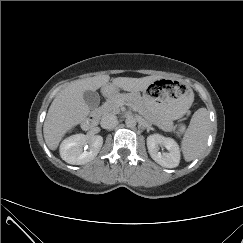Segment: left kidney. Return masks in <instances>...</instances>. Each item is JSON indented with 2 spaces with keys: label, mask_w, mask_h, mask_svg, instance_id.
<instances>
[{
  "label": "left kidney",
  "mask_w": 243,
  "mask_h": 243,
  "mask_svg": "<svg viewBox=\"0 0 243 243\" xmlns=\"http://www.w3.org/2000/svg\"><path fill=\"white\" fill-rule=\"evenodd\" d=\"M158 145H163L167 152H159ZM147 148L151 158L159 165L166 168H175L179 165L180 150L174 139L160 134H152L147 137Z\"/></svg>",
  "instance_id": "left-kidney-1"
}]
</instances>
